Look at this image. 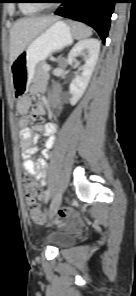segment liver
I'll use <instances>...</instances> for the list:
<instances>
[{"mask_svg":"<svg viewBox=\"0 0 136 296\" xmlns=\"http://www.w3.org/2000/svg\"><path fill=\"white\" fill-rule=\"evenodd\" d=\"M59 18L54 16L26 17L16 21L10 31V62L47 27Z\"/></svg>","mask_w":136,"mask_h":296,"instance_id":"liver-1","label":"liver"}]
</instances>
